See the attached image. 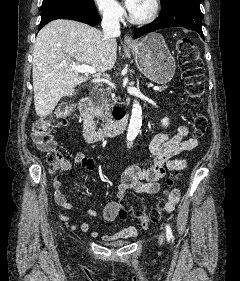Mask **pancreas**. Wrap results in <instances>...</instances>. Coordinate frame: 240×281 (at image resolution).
<instances>
[{"label": "pancreas", "mask_w": 240, "mask_h": 281, "mask_svg": "<svg viewBox=\"0 0 240 281\" xmlns=\"http://www.w3.org/2000/svg\"><path fill=\"white\" fill-rule=\"evenodd\" d=\"M159 91H163L166 87L162 86ZM93 114L97 117V122L101 121L102 126H106L110 122L111 109L114 107L113 99L102 89H95L93 94Z\"/></svg>", "instance_id": "1"}]
</instances>
